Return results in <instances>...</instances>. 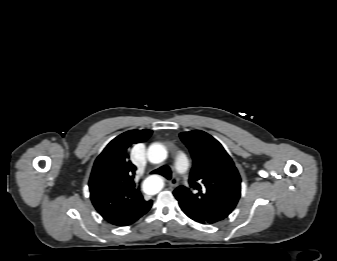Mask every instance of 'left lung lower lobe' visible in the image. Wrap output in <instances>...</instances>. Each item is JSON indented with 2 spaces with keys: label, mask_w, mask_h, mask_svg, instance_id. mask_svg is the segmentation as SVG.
Masks as SVG:
<instances>
[{
  "label": "left lung lower lobe",
  "mask_w": 337,
  "mask_h": 261,
  "mask_svg": "<svg viewBox=\"0 0 337 261\" xmlns=\"http://www.w3.org/2000/svg\"><path fill=\"white\" fill-rule=\"evenodd\" d=\"M183 212H184L189 218L193 219V220L196 221V222H199V223H202V224H213V223H209V222H207V221H205V220L200 219L199 217H197L196 215H194V214H192V213H190V212H188V211H184V210H183Z\"/></svg>",
  "instance_id": "1"
}]
</instances>
